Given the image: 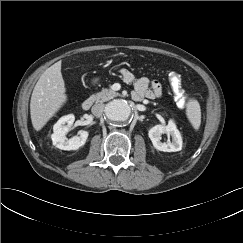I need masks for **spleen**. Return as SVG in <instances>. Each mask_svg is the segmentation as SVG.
Segmentation results:
<instances>
[{
  "label": "spleen",
  "mask_w": 243,
  "mask_h": 243,
  "mask_svg": "<svg viewBox=\"0 0 243 243\" xmlns=\"http://www.w3.org/2000/svg\"><path fill=\"white\" fill-rule=\"evenodd\" d=\"M186 116L195 130L201 125V109L196 99H189L186 105Z\"/></svg>",
  "instance_id": "spleen-1"
}]
</instances>
